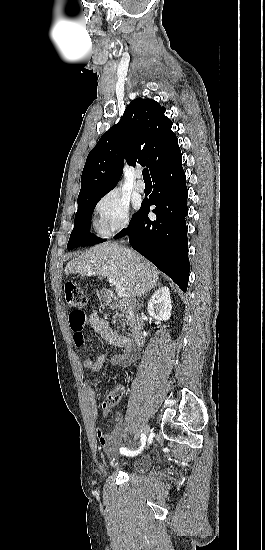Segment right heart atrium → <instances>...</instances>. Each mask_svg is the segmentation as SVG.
<instances>
[{
    "label": "right heart atrium",
    "instance_id": "d8ad5b80",
    "mask_svg": "<svg viewBox=\"0 0 265 550\" xmlns=\"http://www.w3.org/2000/svg\"><path fill=\"white\" fill-rule=\"evenodd\" d=\"M95 212L98 230L103 236H112L126 229L130 223L129 203L117 189L110 190L98 200Z\"/></svg>",
    "mask_w": 265,
    "mask_h": 550
}]
</instances>
